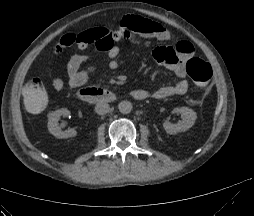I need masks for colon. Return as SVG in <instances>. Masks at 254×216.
Segmentation results:
<instances>
[{"instance_id": "obj_1", "label": "colon", "mask_w": 254, "mask_h": 216, "mask_svg": "<svg viewBox=\"0 0 254 216\" xmlns=\"http://www.w3.org/2000/svg\"><path fill=\"white\" fill-rule=\"evenodd\" d=\"M79 40L86 44L99 45L102 48L109 46L113 42L111 35L105 29L101 28L87 29L80 32ZM166 52L172 54L170 49ZM186 71L199 87L207 86L213 76L211 65L197 57H192L187 61ZM23 99L26 106L34 111L40 110L47 105L46 92L40 80L33 79L25 85Z\"/></svg>"}]
</instances>
